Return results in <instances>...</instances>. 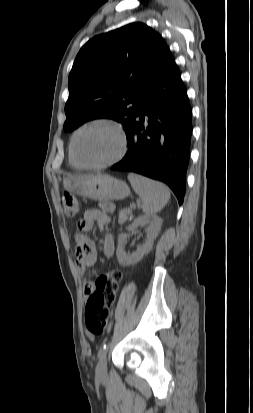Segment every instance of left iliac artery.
<instances>
[{"label": "left iliac artery", "mask_w": 253, "mask_h": 413, "mask_svg": "<svg viewBox=\"0 0 253 413\" xmlns=\"http://www.w3.org/2000/svg\"><path fill=\"white\" fill-rule=\"evenodd\" d=\"M106 352H107V344H104L98 352V357L99 358L104 357L106 355Z\"/></svg>", "instance_id": "obj_1"}]
</instances>
